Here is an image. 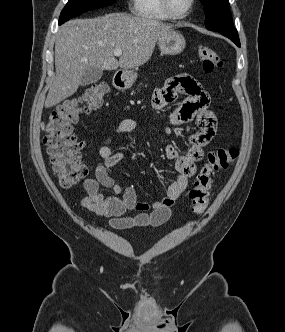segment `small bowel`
<instances>
[{
  "label": "small bowel",
  "instance_id": "c3829d8e",
  "mask_svg": "<svg viewBox=\"0 0 285 332\" xmlns=\"http://www.w3.org/2000/svg\"><path fill=\"white\" fill-rule=\"evenodd\" d=\"M177 94L187 97L170 115L173 125H182L196 121L199 129L187 137V152L180 155L174 145L165 147V156L175 160L177 176L167 189L165 197L152 204L139 201L133 188L124 190L111 176L113 167L124 157V153L113 152L110 145L113 134L107 136L99 149L102 163L96 168L95 176L83 182V208L101 216L110 218V225L115 228L132 226H160L166 223L172 214L175 200L187 189L189 179L196 172V164L204 156V148L213 140L217 132V118L209 109L210 95L193 76L187 73L169 78L164 87L155 90L152 105L155 109H163L169 105ZM132 118L122 120L114 134H125L137 128ZM100 186L111 189L113 195L106 196L100 192ZM128 211H136L135 217H125Z\"/></svg>",
  "mask_w": 285,
  "mask_h": 332
}]
</instances>
